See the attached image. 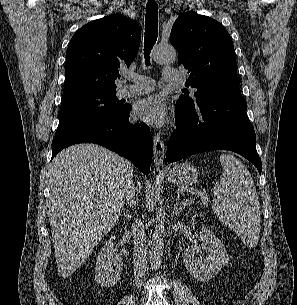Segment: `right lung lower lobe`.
<instances>
[{
  "label": "right lung lower lobe",
  "mask_w": 297,
  "mask_h": 305,
  "mask_svg": "<svg viewBox=\"0 0 297 305\" xmlns=\"http://www.w3.org/2000/svg\"><path fill=\"white\" fill-rule=\"evenodd\" d=\"M131 106L119 116L96 117L56 134L52 141V159L62 149L77 143H96L129 159L144 174L150 171L153 141L145 124L129 122Z\"/></svg>",
  "instance_id": "98d812e1"
}]
</instances>
